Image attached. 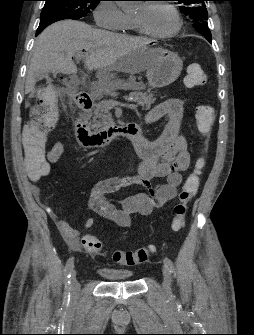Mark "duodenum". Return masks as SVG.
I'll use <instances>...</instances> for the list:
<instances>
[{
  "label": "duodenum",
  "mask_w": 254,
  "mask_h": 335,
  "mask_svg": "<svg viewBox=\"0 0 254 335\" xmlns=\"http://www.w3.org/2000/svg\"><path fill=\"white\" fill-rule=\"evenodd\" d=\"M75 102L81 111L75 123V133L79 142L86 148H101L110 144L118 137H125L132 142L142 136V130L136 123L112 125L102 130H92L87 122L85 113L92 107V100L87 94H79Z\"/></svg>",
  "instance_id": "1"
}]
</instances>
